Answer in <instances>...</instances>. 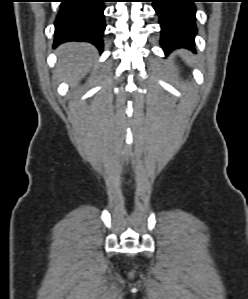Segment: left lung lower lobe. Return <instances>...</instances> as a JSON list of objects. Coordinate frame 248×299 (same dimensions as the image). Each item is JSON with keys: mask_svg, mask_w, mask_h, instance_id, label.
Instances as JSON below:
<instances>
[{"mask_svg": "<svg viewBox=\"0 0 248 299\" xmlns=\"http://www.w3.org/2000/svg\"><path fill=\"white\" fill-rule=\"evenodd\" d=\"M196 1L151 0L160 18L162 29L160 42L166 53L177 48L194 51Z\"/></svg>", "mask_w": 248, "mask_h": 299, "instance_id": "obj_1", "label": "left lung lower lobe"}]
</instances>
